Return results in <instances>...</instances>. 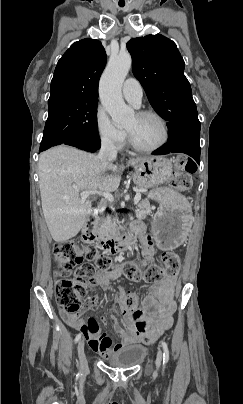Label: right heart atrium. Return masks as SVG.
Returning a JSON list of instances; mask_svg holds the SVG:
<instances>
[{
  "mask_svg": "<svg viewBox=\"0 0 243 404\" xmlns=\"http://www.w3.org/2000/svg\"><path fill=\"white\" fill-rule=\"evenodd\" d=\"M94 125L99 142L116 151L122 150L128 141L126 132L116 127L102 105L94 113Z\"/></svg>",
  "mask_w": 243,
  "mask_h": 404,
  "instance_id": "obj_1",
  "label": "right heart atrium"
}]
</instances>
